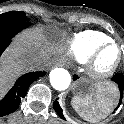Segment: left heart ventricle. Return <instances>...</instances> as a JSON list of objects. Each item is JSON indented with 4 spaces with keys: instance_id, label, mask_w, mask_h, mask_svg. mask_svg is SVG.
<instances>
[{
    "instance_id": "left-heart-ventricle-1",
    "label": "left heart ventricle",
    "mask_w": 124,
    "mask_h": 124,
    "mask_svg": "<svg viewBox=\"0 0 124 124\" xmlns=\"http://www.w3.org/2000/svg\"><path fill=\"white\" fill-rule=\"evenodd\" d=\"M118 59V51L116 48L111 47L107 49L99 58L97 68L101 71L110 69Z\"/></svg>"
}]
</instances>
